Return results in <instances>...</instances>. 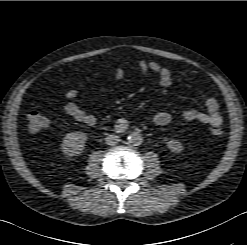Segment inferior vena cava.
<instances>
[{
  "label": "inferior vena cava",
  "mask_w": 247,
  "mask_h": 245,
  "mask_svg": "<svg viewBox=\"0 0 247 245\" xmlns=\"http://www.w3.org/2000/svg\"><path fill=\"white\" fill-rule=\"evenodd\" d=\"M105 140L108 145H116L120 141L119 136L115 134L108 135Z\"/></svg>",
  "instance_id": "1"
}]
</instances>
